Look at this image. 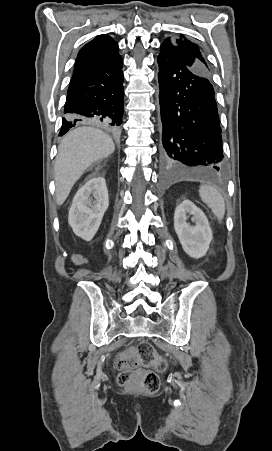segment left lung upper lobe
I'll use <instances>...</instances> for the list:
<instances>
[{"label":"left lung upper lobe","instance_id":"obj_1","mask_svg":"<svg viewBox=\"0 0 272 451\" xmlns=\"http://www.w3.org/2000/svg\"><path fill=\"white\" fill-rule=\"evenodd\" d=\"M172 39L175 40L177 42V44L182 45L185 48L192 51V53L197 57V59L200 61V63L204 67V69L207 70V68H208L207 63H206L205 59L203 58V56L196 44L192 43L191 41H188L186 38H184V39L172 38Z\"/></svg>","mask_w":272,"mask_h":451}]
</instances>
